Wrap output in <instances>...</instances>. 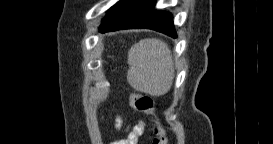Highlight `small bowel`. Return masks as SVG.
<instances>
[{"label": "small bowel", "instance_id": "1", "mask_svg": "<svg viewBox=\"0 0 273 144\" xmlns=\"http://www.w3.org/2000/svg\"><path fill=\"white\" fill-rule=\"evenodd\" d=\"M145 123L139 121L129 132L127 138L121 144H136L138 138L144 133Z\"/></svg>", "mask_w": 273, "mask_h": 144}]
</instances>
